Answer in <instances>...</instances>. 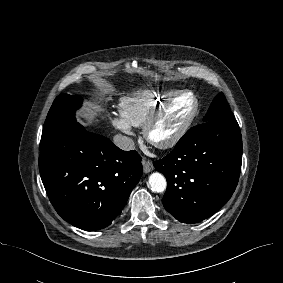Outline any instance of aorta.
Returning <instances> with one entry per match:
<instances>
[{
    "instance_id": "obj_1",
    "label": "aorta",
    "mask_w": 283,
    "mask_h": 283,
    "mask_svg": "<svg viewBox=\"0 0 283 283\" xmlns=\"http://www.w3.org/2000/svg\"><path fill=\"white\" fill-rule=\"evenodd\" d=\"M149 186L153 192L161 193L166 189V179L159 172L152 173L149 176Z\"/></svg>"
}]
</instances>
